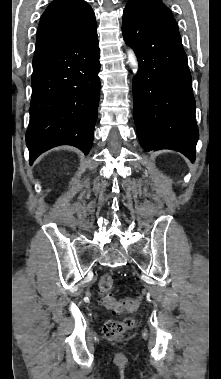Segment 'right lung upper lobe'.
Returning a JSON list of instances; mask_svg holds the SVG:
<instances>
[{
	"label": "right lung upper lobe",
	"instance_id": "obj_1",
	"mask_svg": "<svg viewBox=\"0 0 221 379\" xmlns=\"http://www.w3.org/2000/svg\"><path fill=\"white\" fill-rule=\"evenodd\" d=\"M96 24L84 0H54L41 16L34 55L72 42Z\"/></svg>",
	"mask_w": 221,
	"mask_h": 379
}]
</instances>
